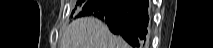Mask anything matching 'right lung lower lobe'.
<instances>
[{
	"label": "right lung lower lobe",
	"mask_w": 213,
	"mask_h": 48,
	"mask_svg": "<svg viewBox=\"0 0 213 48\" xmlns=\"http://www.w3.org/2000/svg\"><path fill=\"white\" fill-rule=\"evenodd\" d=\"M81 16L101 19L113 34L122 36L134 47L145 45L148 0H89L79 13Z\"/></svg>",
	"instance_id": "obj_1"
}]
</instances>
